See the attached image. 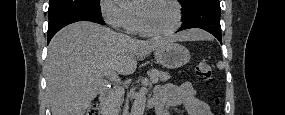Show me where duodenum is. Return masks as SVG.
<instances>
[{
	"label": "duodenum",
	"mask_w": 285,
	"mask_h": 115,
	"mask_svg": "<svg viewBox=\"0 0 285 115\" xmlns=\"http://www.w3.org/2000/svg\"><path fill=\"white\" fill-rule=\"evenodd\" d=\"M109 98L110 94L107 89L101 91L99 95V101H100V107L103 115H109L111 114V109L109 106Z\"/></svg>",
	"instance_id": "1"
}]
</instances>
